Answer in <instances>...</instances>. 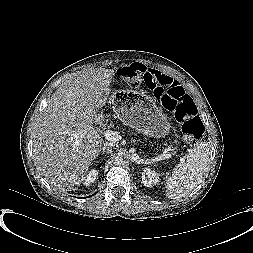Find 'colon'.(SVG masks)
Masks as SVG:
<instances>
[{
  "label": "colon",
  "mask_w": 253,
  "mask_h": 253,
  "mask_svg": "<svg viewBox=\"0 0 253 253\" xmlns=\"http://www.w3.org/2000/svg\"><path fill=\"white\" fill-rule=\"evenodd\" d=\"M146 68L141 64H131L120 67L118 76L131 85L141 84ZM155 99L182 124L184 139L188 144L199 142L204 135V124L197 115V109L192 98L183 87L173 85L154 90Z\"/></svg>",
  "instance_id": "colon-1"
}]
</instances>
